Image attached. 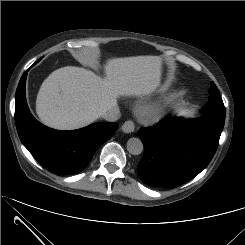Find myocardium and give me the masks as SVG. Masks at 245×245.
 Returning a JSON list of instances; mask_svg holds the SVG:
<instances>
[{
	"label": "myocardium",
	"mask_w": 245,
	"mask_h": 245,
	"mask_svg": "<svg viewBox=\"0 0 245 245\" xmlns=\"http://www.w3.org/2000/svg\"><path fill=\"white\" fill-rule=\"evenodd\" d=\"M166 105H163V106H160V107H155V108H152L148 111V116L150 118H157L159 117L163 112H164V109H165Z\"/></svg>",
	"instance_id": "1"
}]
</instances>
